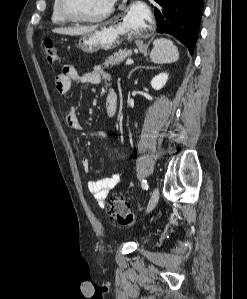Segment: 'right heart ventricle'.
<instances>
[{
    "label": "right heart ventricle",
    "instance_id": "obj_1",
    "mask_svg": "<svg viewBox=\"0 0 247 299\" xmlns=\"http://www.w3.org/2000/svg\"><path fill=\"white\" fill-rule=\"evenodd\" d=\"M51 21L56 25H64L68 22L60 13L58 0H54L51 11Z\"/></svg>",
    "mask_w": 247,
    "mask_h": 299
}]
</instances>
